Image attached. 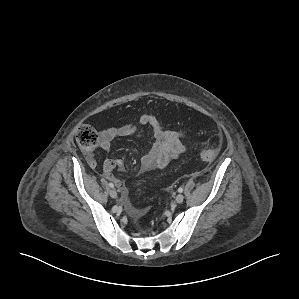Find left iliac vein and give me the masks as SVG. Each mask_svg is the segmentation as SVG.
Instances as JSON below:
<instances>
[{
    "label": "left iliac vein",
    "mask_w": 299,
    "mask_h": 299,
    "mask_svg": "<svg viewBox=\"0 0 299 299\" xmlns=\"http://www.w3.org/2000/svg\"><path fill=\"white\" fill-rule=\"evenodd\" d=\"M175 200H176L177 203H182L183 200H184V195H182V194H178V195L176 196Z\"/></svg>",
    "instance_id": "1"
}]
</instances>
